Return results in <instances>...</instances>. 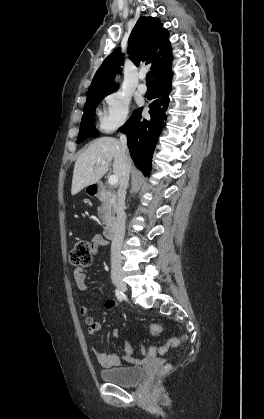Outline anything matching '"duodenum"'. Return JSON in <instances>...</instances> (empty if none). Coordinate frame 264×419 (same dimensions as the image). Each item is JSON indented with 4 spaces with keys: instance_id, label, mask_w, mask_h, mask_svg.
Here are the masks:
<instances>
[{
    "instance_id": "obj_1",
    "label": "duodenum",
    "mask_w": 264,
    "mask_h": 419,
    "mask_svg": "<svg viewBox=\"0 0 264 419\" xmlns=\"http://www.w3.org/2000/svg\"><path fill=\"white\" fill-rule=\"evenodd\" d=\"M92 195L103 199L108 196V193L106 192L104 186L102 184H95L92 186ZM117 224L114 219L109 220L107 223L105 229H104V236L107 239H113L116 234Z\"/></svg>"
}]
</instances>
